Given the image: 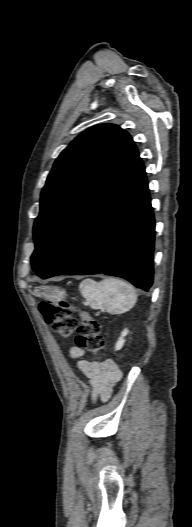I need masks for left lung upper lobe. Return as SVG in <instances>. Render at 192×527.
<instances>
[{
  "label": "left lung upper lobe",
  "instance_id": "obj_1",
  "mask_svg": "<svg viewBox=\"0 0 192 527\" xmlns=\"http://www.w3.org/2000/svg\"><path fill=\"white\" fill-rule=\"evenodd\" d=\"M140 159L131 136L117 125H95L62 151L41 193L34 223L33 270L44 275L91 212Z\"/></svg>",
  "mask_w": 192,
  "mask_h": 527
}]
</instances>
